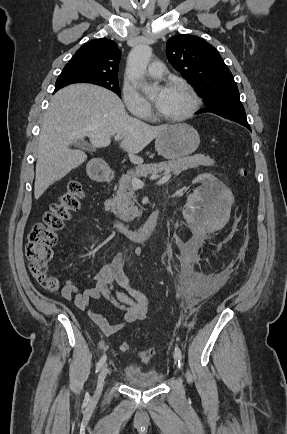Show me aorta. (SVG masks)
<instances>
[{
    "mask_svg": "<svg viewBox=\"0 0 287 434\" xmlns=\"http://www.w3.org/2000/svg\"><path fill=\"white\" fill-rule=\"evenodd\" d=\"M151 55V47L146 44H141L135 46L131 50L127 61V73L145 87H147L148 85L146 82H144V74L150 61Z\"/></svg>",
    "mask_w": 287,
    "mask_h": 434,
    "instance_id": "762f6f07",
    "label": "aorta"
}]
</instances>
